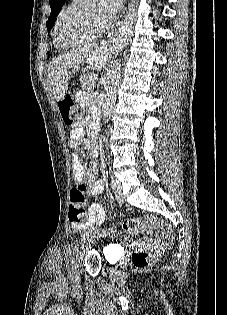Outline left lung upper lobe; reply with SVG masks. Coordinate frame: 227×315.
Returning a JSON list of instances; mask_svg holds the SVG:
<instances>
[{
    "label": "left lung upper lobe",
    "instance_id": "1",
    "mask_svg": "<svg viewBox=\"0 0 227 315\" xmlns=\"http://www.w3.org/2000/svg\"><path fill=\"white\" fill-rule=\"evenodd\" d=\"M66 0H49L50 7H51V13L47 21V29L50 31V29L53 27L55 19L57 15L59 14L63 4Z\"/></svg>",
    "mask_w": 227,
    "mask_h": 315
}]
</instances>
